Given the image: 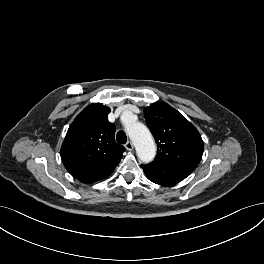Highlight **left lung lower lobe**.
Segmentation results:
<instances>
[{
    "mask_svg": "<svg viewBox=\"0 0 264 264\" xmlns=\"http://www.w3.org/2000/svg\"><path fill=\"white\" fill-rule=\"evenodd\" d=\"M142 168L150 181L162 186L176 184L192 173L191 170L184 167L160 163L157 161L142 165Z\"/></svg>",
    "mask_w": 264,
    "mask_h": 264,
    "instance_id": "obj_1",
    "label": "left lung lower lobe"
}]
</instances>
